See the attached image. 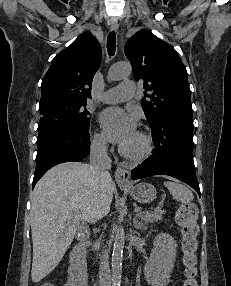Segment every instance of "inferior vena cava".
Returning a JSON list of instances; mask_svg holds the SVG:
<instances>
[{"instance_id":"1","label":"inferior vena cava","mask_w":231,"mask_h":286,"mask_svg":"<svg viewBox=\"0 0 231 286\" xmlns=\"http://www.w3.org/2000/svg\"><path fill=\"white\" fill-rule=\"evenodd\" d=\"M90 163L93 174L100 183H104L110 177L108 170L111 168V159L107 154V143L105 140H93L90 148ZM108 212L109 209L102 202L96 210V215L103 217ZM109 251L106 245L100 256L99 286H111Z\"/></svg>"}]
</instances>
